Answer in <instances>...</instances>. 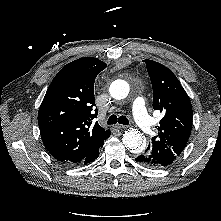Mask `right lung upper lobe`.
Listing matches in <instances>:
<instances>
[{
  "label": "right lung upper lobe",
  "mask_w": 221,
  "mask_h": 221,
  "mask_svg": "<svg viewBox=\"0 0 221 221\" xmlns=\"http://www.w3.org/2000/svg\"><path fill=\"white\" fill-rule=\"evenodd\" d=\"M106 64L84 57L64 66L52 80L38 111L42 141L57 160L81 164L98 150L109 130L92 120L97 117L94 80Z\"/></svg>",
  "instance_id": "right-lung-upper-lobe-1"
}]
</instances>
